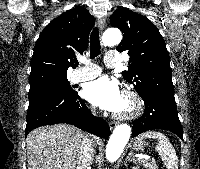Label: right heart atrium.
I'll list each match as a JSON object with an SVG mask.
<instances>
[{"mask_svg": "<svg viewBox=\"0 0 200 169\" xmlns=\"http://www.w3.org/2000/svg\"><path fill=\"white\" fill-rule=\"evenodd\" d=\"M90 111H91L92 113H94V110H93V109H90Z\"/></svg>", "mask_w": 200, "mask_h": 169, "instance_id": "1", "label": "right heart atrium"}]
</instances>
